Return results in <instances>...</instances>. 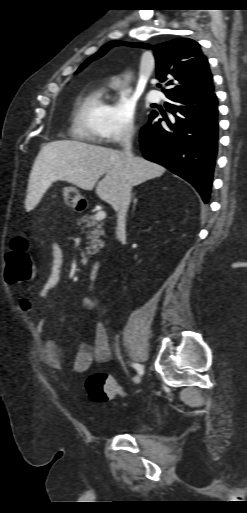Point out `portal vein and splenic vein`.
<instances>
[{
	"mask_svg": "<svg viewBox=\"0 0 247 513\" xmlns=\"http://www.w3.org/2000/svg\"><path fill=\"white\" fill-rule=\"evenodd\" d=\"M106 218V212L103 211V210H99L96 215H95V219L97 221H101V220H104Z\"/></svg>",
	"mask_w": 247,
	"mask_h": 513,
	"instance_id": "18ae733b",
	"label": "portal vein and splenic vein"
}]
</instances>
